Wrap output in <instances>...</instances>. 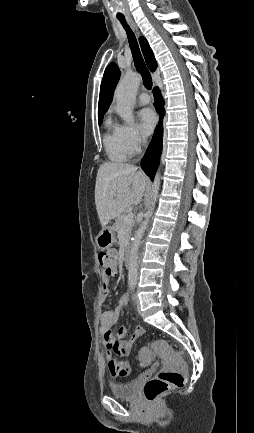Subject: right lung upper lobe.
Listing matches in <instances>:
<instances>
[{"label":"right lung upper lobe","instance_id":"cb5924a9","mask_svg":"<svg viewBox=\"0 0 254 433\" xmlns=\"http://www.w3.org/2000/svg\"><path fill=\"white\" fill-rule=\"evenodd\" d=\"M140 46L145 57L147 66L151 71L157 68V62L154 58L153 52L144 37L139 39ZM120 77V70L115 63H111L105 69L103 80L100 87V96L98 104V121L103 120V115L108 110L110 103L113 99L114 89Z\"/></svg>","mask_w":254,"mask_h":433}]
</instances>
